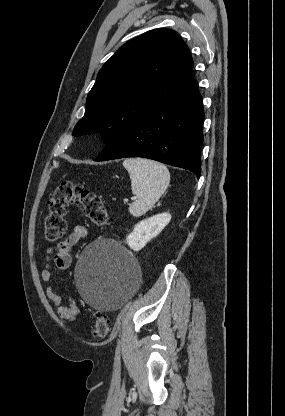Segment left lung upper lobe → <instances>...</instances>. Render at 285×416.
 Instances as JSON below:
<instances>
[{
  "label": "left lung upper lobe",
  "instance_id": "obj_1",
  "mask_svg": "<svg viewBox=\"0 0 285 416\" xmlns=\"http://www.w3.org/2000/svg\"><path fill=\"white\" fill-rule=\"evenodd\" d=\"M193 60L177 32L148 31L103 65L73 135L101 132L109 143L131 124L168 102L193 80Z\"/></svg>",
  "mask_w": 285,
  "mask_h": 416
}]
</instances>
